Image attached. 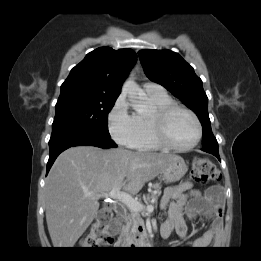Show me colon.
Instances as JSON below:
<instances>
[{
  "label": "colon",
  "mask_w": 261,
  "mask_h": 261,
  "mask_svg": "<svg viewBox=\"0 0 261 261\" xmlns=\"http://www.w3.org/2000/svg\"><path fill=\"white\" fill-rule=\"evenodd\" d=\"M220 177L219 170L215 165L205 157H197L193 161L191 179L197 183H207L217 180ZM113 218V210L110 205H104L97 214L96 220L89 232L81 241L83 249H91L98 245L105 235L107 225Z\"/></svg>",
  "instance_id": "obj_1"
}]
</instances>
